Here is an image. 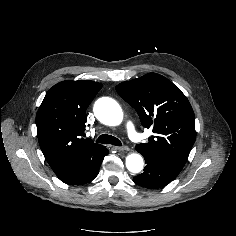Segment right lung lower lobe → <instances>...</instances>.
<instances>
[{
    "mask_svg": "<svg viewBox=\"0 0 236 236\" xmlns=\"http://www.w3.org/2000/svg\"><path fill=\"white\" fill-rule=\"evenodd\" d=\"M108 153L109 151L104 148L95 157L79 164L73 173L59 179L69 185H83L92 181L97 176L101 162Z\"/></svg>",
    "mask_w": 236,
    "mask_h": 236,
    "instance_id": "right-lung-lower-lobe-1",
    "label": "right lung lower lobe"
}]
</instances>
